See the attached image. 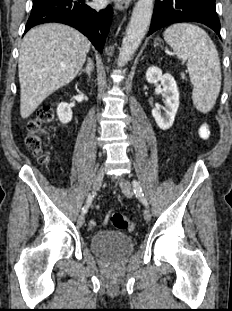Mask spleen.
Masks as SVG:
<instances>
[{"label":"spleen","instance_id":"3e777b00","mask_svg":"<svg viewBox=\"0 0 232 311\" xmlns=\"http://www.w3.org/2000/svg\"><path fill=\"white\" fill-rule=\"evenodd\" d=\"M164 39L180 60L187 61L193 103L197 110L208 113L221 88L220 59L213 41L202 28L190 23L168 27Z\"/></svg>","mask_w":232,"mask_h":311}]
</instances>
